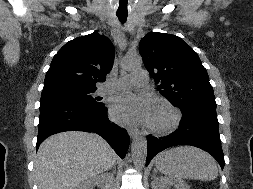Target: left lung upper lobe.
<instances>
[{"label":"left lung upper lobe","mask_w":253,"mask_h":189,"mask_svg":"<svg viewBox=\"0 0 253 189\" xmlns=\"http://www.w3.org/2000/svg\"><path fill=\"white\" fill-rule=\"evenodd\" d=\"M139 51L159 92L182 114L217 117L207 71L198 54L181 38L150 32L141 39Z\"/></svg>","instance_id":"left-lung-upper-lobe-1"}]
</instances>
